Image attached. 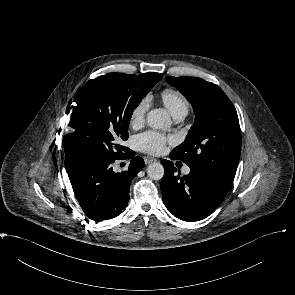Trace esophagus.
I'll list each match as a JSON object with an SVG mask.
<instances>
[{"label": "esophagus", "instance_id": "obj_1", "mask_svg": "<svg viewBox=\"0 0 295 295\" xmlns=\"http://www.w3.org/2000/svg\"><path fill=\"white\" fill-rule=\"evenodd\" d=\"M144 161L146 164H150V163L156 162L157 159L147 156V157H144Z\"/></svg>", "mask_w": 295, "mask_h": 295}]
</instances>
